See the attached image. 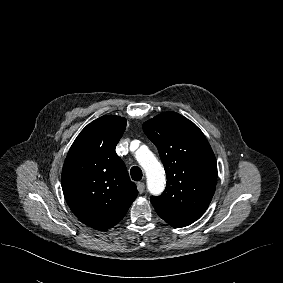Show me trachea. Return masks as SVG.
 Masks as SVG:
<instances>
[{"mask_svg": "<svg viewBox=\"0 0 283 283\" xmlns=\"http://www.w3.org/2000/svg\"><path fill=\"white\" fill-rule=\"evenodd\" d=\"M130 175L134 181H140L142 179V170L137 166H133L130 169Z\"/></svg>", "mask_w": 283, "mask_h": 283, "instance_id": "1", "label": "trachea"}]
</instances>
